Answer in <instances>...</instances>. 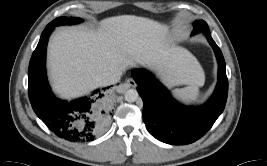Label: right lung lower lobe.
I'll return each mask as SVG.
<instances>
[{
  "instance_id": "98d812e1",
  "label": "right lung lower lobe",
  "mask_w": 267,
  "mask_h": 166,
  "mask_svg": "<svg viewBox=\"0 0 267 166\" xmlns=\"http://www.w3.org/2000/svg\"><path fill=\"white\" fill-rule=\"evenodd\" d=\"M54 27L47 25L30 60V102L36 115L58 137L70 142L92 141L103 132L112 116L106 92L109 87L69 102L54 96L45 69L46 47Z\"/></svg>"
}]
</instances>
